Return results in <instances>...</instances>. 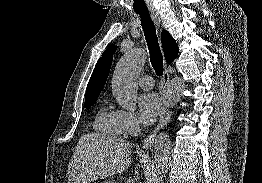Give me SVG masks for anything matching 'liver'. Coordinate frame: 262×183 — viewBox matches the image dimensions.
Wrapping results in <instances>:
<instances>
[{"label": "liver", "mask_w": 262, "mask_h": 183, "mask_svg": "<svg viewBox=\"0 0 262 183\" xmlns=\"http://www.w3.org/2000/svg\"><path fill=\"white\" fill-rule=\"evenodd\" d=\"M131 143L105 133L83 135L68 165V183H88L125 171Z\"/></svg>", "instance_id": "obj_1"}]
</instances>
